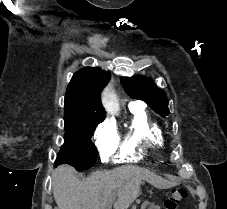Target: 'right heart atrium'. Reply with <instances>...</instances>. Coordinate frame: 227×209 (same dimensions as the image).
Wrapping results in <instances>:
<instances>
[{"mask_svg": "<svg viewBox=\"0 0 227 209\" xmlns=\"http://www.w3.org/2000/svg\"><path fill=\"white\" fill-rule=\"evenodd\" d=\"M94 141L101 159H108L119 143V134L116 127L108 121L101 123L96 128Z\"/></svg>", "mask_w": 227, "mask_h": 209, "instance_id": "1", "label": "right heart atrium"}]
</instances>
